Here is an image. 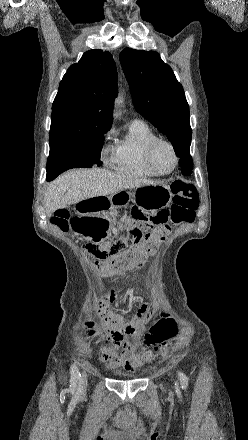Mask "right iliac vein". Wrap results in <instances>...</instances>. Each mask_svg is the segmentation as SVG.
I'll return each mask as SVG.
<instances>
[{"label":"right iliac vein","mask_w":248,"mask_h":440,"mask_svg":"<svg viewBox=\"0 0 248 440\" xmlns=\"http://www.w3.org/2000/svg\"><path fill=\"white\" fill-rule=\"evenodd\" d=\"M88 381V374L86 371H83L81 381L79 382L78 392L79 394H83L86 390Z\"/></svg>","instance_id":"1"}]
</instances>
